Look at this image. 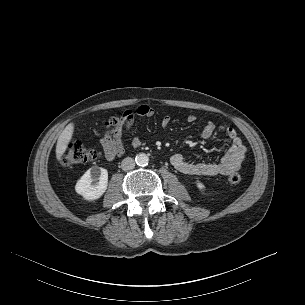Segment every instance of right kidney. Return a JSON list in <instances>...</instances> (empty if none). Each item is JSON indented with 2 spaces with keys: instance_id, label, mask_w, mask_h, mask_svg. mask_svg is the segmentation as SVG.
I'll return each instance as SVG.
<instances>
[{
  "instance_id": "ca27d5eb",
  "label": "right kidney",
  "mask_w": 305,
  "mask_h": 305,
  "mask_svg": "<svg viewBox=\"0 0 305 305\" xmlns=\"http://www.w3.org/2000/svg\"><path fill=\"white\" fill-rule=\"evenodd\" d=\"M94 182V184H92ZM108 186L106 169L93 166L77 181L75 191L85 200L92 201L100 198Z\"/></svg>"
}]
</instances>
